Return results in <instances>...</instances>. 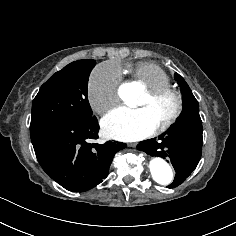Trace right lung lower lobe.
Here are the masks:
<instances>
[{
	"mask_svg": "<svg viewBox=\"0 0 236 236\" xmlns=\"http://www.w3.org/2000/svg\"><path fill=\"white\" fill-rule=\"evenodd\" d=\"M99 132L95 116L59 119L30 126L31 141L44 171L70 191H87L107 177L114 155L125 143H90Z\"/></svg>",
	"mask_w": 236,
	"mask_h": 236,
	"instance_id": "98d812e1",
	"label": "right lung lower lobe"
}]
</instances>
